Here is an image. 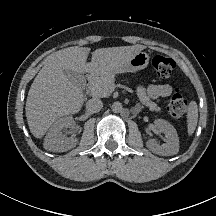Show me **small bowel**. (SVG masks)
Returning a JSON list of instances; mask_svg holds the SVG:
<instances>
[{
  "mask_svg": "<svg viewBox=\"0 0 216 216\" xmlns=\"http://www.w3.org/2000/svg\"><path fill=\"white\" fill-rule=\"evenodd\" d=\"M171 93L172 87L167 83L152 84L147 90L148 96L152 99L168 97Z\"/></svg>",
  "mask_w": 216,
  "mask_h": 216,
  "instance_id": "c3829d8e",
  "label": "small bowel"
}]
</instances>
